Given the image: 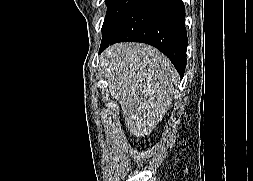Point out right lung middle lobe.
<instances>
[{"label":"right lung middle lobe","mask_w":253,"mask_h":181,"mask_svg":"<svg viewBox=\"0 0 253 181\" xmlns=\"http://www.w3.org/2000/svg\"><path fill=\"white\" fill-rule=\"evenodd\" d=\"M133 1L134 0H105L108 8L102 26V33H104L120 17Z\"/></svg>","instance_id":"dd1d6c3e"}]
</instances>
